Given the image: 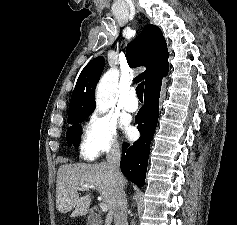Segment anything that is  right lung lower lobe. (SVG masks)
Wrapping results in <instances>:
<instances>
[{
	"mask_svg": "<svg viewBox=\"0 0 237 225\" xmlns=\"http://www.w3.org/2000/svg\"><path fill=\"white\" fill-rule=\"evenodd\" d=\"M161 83L145 90L144 105L135 118L141 133L140 138L134 144L124 142L122 145L121 171L139 187L145 185L150 143L159 117Z\"/></svg>",
	"mask_w": 237,
	"mask_h": 225,
	"instance_id": "obj_1",
	"label": "right lung lower lobe"
}]
</instances>
